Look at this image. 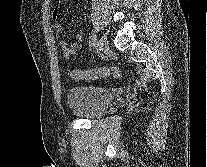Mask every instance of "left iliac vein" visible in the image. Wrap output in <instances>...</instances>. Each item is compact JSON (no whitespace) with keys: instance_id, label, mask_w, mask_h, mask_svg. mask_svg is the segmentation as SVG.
Here are the masks:
<instances>
[{"instance_id":"1","label":"left iliac vein","mask_w":207,"mask_h":167,"mask_svg":"<svg viewBox=\"0 0 207 167\" xmlns=\"http://www.w3.org/2000/svg\"><path fill=\"white\" fill-rule=\"evenodd\" d=\"M98 48L102 54H105L109 50L108 40L105 36L100 37L98 42Z\"/></svg>"}]
</instances>
